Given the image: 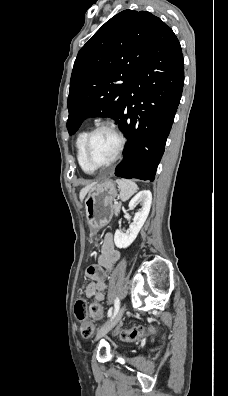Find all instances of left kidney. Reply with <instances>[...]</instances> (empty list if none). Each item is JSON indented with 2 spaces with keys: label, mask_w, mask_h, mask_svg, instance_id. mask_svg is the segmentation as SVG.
Instances as JSON below:
<instances>
[{
  "label": "left kidney",
  "mask_w": 228,
  "mask_h": 396,
  "mask_svg": "<svg viewBox=\"0 0 228 396\" xmlns=\"http://www.w3.org/2000/svg\"><path fill=\"white\" fill-rule=\"evenodd\" d=\"M151 202L152 194L149 190H143L139 192L129 202L130 209H134L137 204H140L142 208L135 213L133 223L129 226V230L127 233L116 230L114 235V243L118 248H127L136 239L139 231L141 230L148 217Z\"/></svg>",
  "instance_id": "5707ae66"
}]
</instances>
